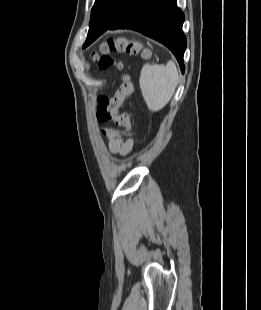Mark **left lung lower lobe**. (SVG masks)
<instances>
[{
	"label": "left lung lower lobe",
	"instance_id": "obj_1",
	"mask_svg": "<svg viewBox=\"0 0 261 310\" xmlns=\"http://www.w3.org/2000/svg\"><path fill=\"white\" fill-rule=\"evenodd\" d=\"M184 14L176 0H123L116 15L107 23H90L86 42L91 44L108 29H132L167 46L184 72L186 38L182 31Z\"/></svg>",
	"mask_w": 261,
	"mask_h": 310
}]
</instances>
